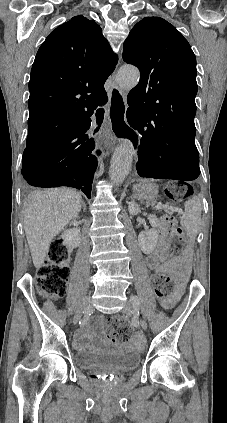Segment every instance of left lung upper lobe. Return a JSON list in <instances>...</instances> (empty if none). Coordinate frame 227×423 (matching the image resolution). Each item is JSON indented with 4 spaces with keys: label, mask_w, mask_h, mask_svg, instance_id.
I'll use <instances>...</instances> for the list:
<instances>
[{
    "label": "left lung upper lobe",
    "mask_w": 227,
    "mask_h": 423,
    "mask_svg": "<svg viewBox=\"0 0 227 423\" xmlns=\"http://www.w3.org/2000/svg\"><path fill=\"white\" fill-rule=\"evenodd\" d=\"M123 60L141 73L127 96L130 107L153 112L196 113V58L181 33L159 17H146L130 31Z\"/></svg>",
    "instance_id": "left-lung-upper-lobe-1"
}]
</instances>
